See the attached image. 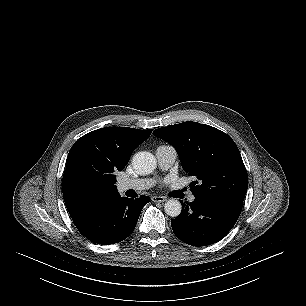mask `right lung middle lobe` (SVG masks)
Wrapping results in <instances>:
<instances>
[{"instance_id":"right-lung-middle-lobe-1","label":"right lung middle lobe","mask_w":306,"mask_h":306,"mask_svg":"<svg viewBox=\"0 0 306 306\" xmlns=\"http://www.w3.org/2000/svg\"><path fill=\"white\" fill-rule=\"evenodd\" d=\"M79 177L82 183L88 187L96 186L105 180V178L101 177L85 162L80 167ZM107 180L111 181L112 183L116 182V176L114 175V172H110Z\"/></svg>"}]
</instances>
